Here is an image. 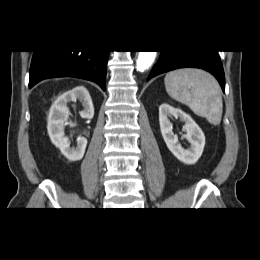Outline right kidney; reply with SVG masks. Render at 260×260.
<instances>
[{"mask_svg":"<svg viewBox=\"0 0 260 260\" xmlns=\"http://www.w3.org/2000/svg\"><path fill=\"white\" fill-rule=\"evenodd\" d=\"M79 100L83 105L80 116L91 119L94 116V107L88 90L78 86L60 95L50 108L47 130L51 142L60 149L69 161L81 160L87 146V139L79 136L77 146L70 147L69 138L64 134V125L68 120L69 110L67 104Z\"/></svg>","mask_w":260,"mask_h":260,"instance_id":"right-kidney-1","label":"right kidney"}]
</instances>
